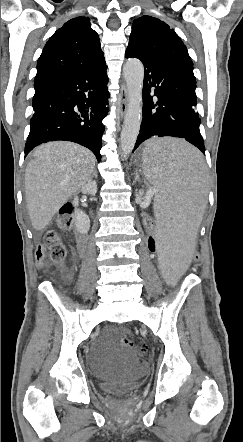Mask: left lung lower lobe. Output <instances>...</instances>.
I'll use <instances>...</instances> for the list:
<instances>
[{"mask_svg": "<svg viewBox=\"0 0 243 442\" xmlns=\"http://www.w3.org/2000/svg\"><path fill=\"white\" fill-rule=\"evenodd\" d=\"M125 56L138 58L145 72L143 118L134 150L149 138L171 136L184 138L205 154L199 130L201 121L195 110L193 68L142 55L132 47L127 48Z\"/></svg>", "mask_w": 243, "mask_h": 442, "instance_id": "obj_1", "label": "left lung lower lobe"}]
</instances>
